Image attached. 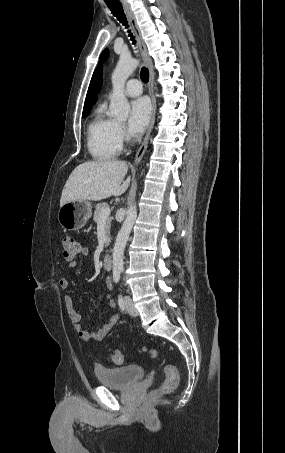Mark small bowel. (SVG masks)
I'll list each match as a JSON object with an SVG mask.
<instances>
[{
	"instance_id": "c3829d8e",
	"label": "small bowel",
	"mask_w": 285,
	"mask_h": 453,
	"mask_svg": "<svg viewBox=\"0 0 285 453\" xmlns=\"http://www.w3.org/2000/svg\"><path fill=\"white\" fill-rule=\"evenodd\" d=\"M79 253L83 256H87L89 254V249L87 247H81ZM68 266L70 269H73L77 266V263L75 261H71ZM59 286L61 289L67 290L70 287L69 279L65 277L61 278L59 280ZM106 287L108 290L112 289V282L109 278L106 280ZM107 298L109 307L111 309H114L116 307L115 301L111 299L109 294L107 295ZM64 302L67 314L74 325L75 331L77 332L78 336L84 341L100 342L104 340L107 334L120 320V314L116 313L112 315L108 322L105 323L100 329H98L97 331H89L85 329L81 324L82 316L76 309L73 298L71 296H66L64 298Z\"/></svg>"
}]
</instances>
